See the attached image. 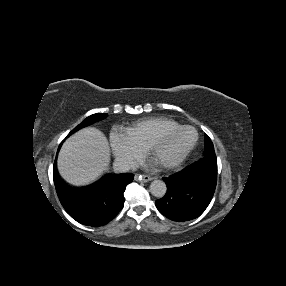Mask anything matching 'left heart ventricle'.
<instances>
[{
	"label": "left heart ventricle",
	"instance_id": "1",
	"mask_svg": "<svg viewBox=\"0 0 286 286\" xmlns=\"http://www.w3.org/2000/svg\"><path fill=\"white\" fill-rule=\"evenodd\" d=\"M195 138L196 135L192 129L181 131L172 140L154 153L155 160L162 162L180 157L193 145Z\"/></svg>",
	"mask_w": 286,
	"mask_h": 286
}]
</instances>
